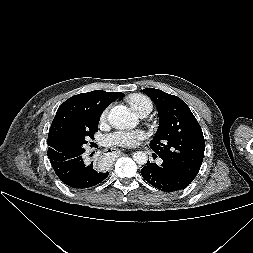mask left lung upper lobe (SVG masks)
Here are the masks:
<instances>
[{
	"instance_id": "1",
	"label": "left lung upper lobe",
	"mask_w": 253,
	"mask_h": 253,
	"mask_svg": "<svg viewBox=\"0 0 253 253\" xmlns=\"http://www.w3.org/2000/svg\"><path fill=\"white\" fill-rule=\"evenodd\" d=\"M142 92L153 100L159 114L160 124L149 146L160 158L195 178L204 158L205 141L193 113L177 96L154 88Z\"/></svg>"
}]
</instances>
